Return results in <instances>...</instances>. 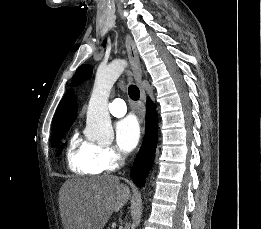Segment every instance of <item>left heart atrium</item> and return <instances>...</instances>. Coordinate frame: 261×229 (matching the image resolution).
<instances>
[{"instance_id":"left-heart-atrium-1","label":"left heart atrium","mask_w":261,"mask_h":229,"mask_svg":"<svg viewBox=\"0 0 261 229\" xmlns=\"http://www.w3.org/2000/svg\"><path fill=\"white\" fill-rule=\"evenodd\" d=\"M116 141L120 149L125 152H131L139 143L141 129L136 118L129 116L116 124Z\"/></svg>"}]
</instances>
